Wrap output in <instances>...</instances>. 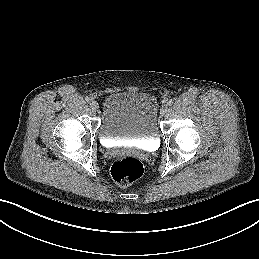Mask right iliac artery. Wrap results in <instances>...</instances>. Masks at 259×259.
I'll list each match as a JSON object with an SVG mask.
<instances>
[{"label": "right iliac artery", "instance_id": "obj_1", "mask_svg": "<svg viewBox=\"0 0 259 259\" xmlns=\"http://www.w3.org/2000/svg\"><path fill=\"white\" fill-rule=\"evenodd\" d=\"M88 103H91V102H93V99L91 98V97H86V99H85Z\"/></svg>", "mask_w": 259, "mask_h": 259}]
</instances>
